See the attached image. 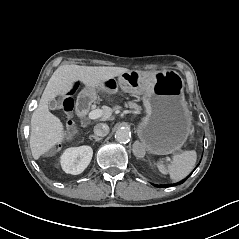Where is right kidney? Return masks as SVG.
Wrapping results in <instances>:
<instances>
[{
	"label": "right kidney",
	"instance_id": "ca27d5eb",
	"mask_svg": "<svg viewBox=\"0 0 239 239\" xmlns=\"http://www.w3.org/2000/svg\"><path fill=\"white\" fill-rule=\"evenodd\" d=\"M92 155L93 150L88 146L69 148L62 155V167L68 174H80L89 165Z\"/></svg>",
	"mask_w": 239,
	"mask_h": 239
}]
</instances>
